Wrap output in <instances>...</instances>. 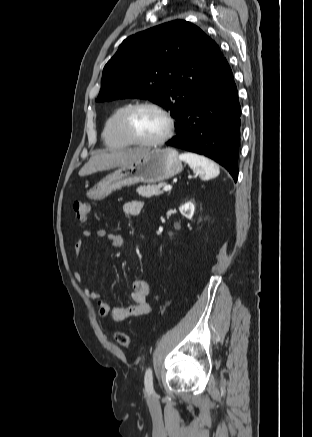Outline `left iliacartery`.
Segmentation results:
<instances>
[{"label":"left iliac artery","mask_w":312,"mask_h":437,"mask_svg":"<svg viewBox=\"0 0 312 437\" xmlns=\"http://www.w3.org/2000/svg\"><path fill=\"white\" fill-rule=\"evenodd\" d=\"M144 383H145V389L147 391L148 394H152L154 393V389H153V374H152V369L148 368L145 372V378H144Z\"/></svg>","instance_id":"obj_1"}]
</instances>
